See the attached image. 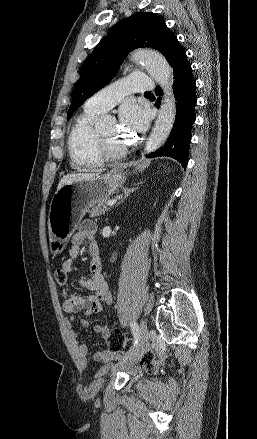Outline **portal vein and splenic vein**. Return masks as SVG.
<instances>
[{
  "label": "portal vein and splenic vein",
  "mask_w": 257,
  "mask_h": 439,
  "mask_svg": "<svg viewBox=\"0 0 257 439\" xmlns=\"http://www.w3.org/2000/svg\"><path fill=\"white\" fill-rule=\"evenodd\" d=\"M116 202H117V200H115V199L109 200V201L107 202V206H112V205H114Z\"/></svg>",
  "instance_id": "obj_1"
}]
</instances>
